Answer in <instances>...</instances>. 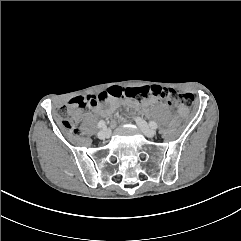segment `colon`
I'll return each instance as SVG.
<instances>
[{
	"label": "colon",
	"instance_id": "1",
	"mask_svg": "<svg viewBox=\"0 0 241 241\" xmlns=\"http://www.w3.org/2000/svg\"><path fill=\"white\" fill-rule=\"evenodd\" d=\"M147 99L155 97L171 103H177L183 108H190L194 104V97L189 94H180L173 89L153 85L143 87H111L98 95H80L72 98L58 110L60 123L70 131L78 134V121L80 113L89 107L104 103L109 98ZM181 125L180 119H170L169 129L176 131Z\"/></svg>",
	"mask_w": 241,
	"mask_h": 241
}]
</instances>
